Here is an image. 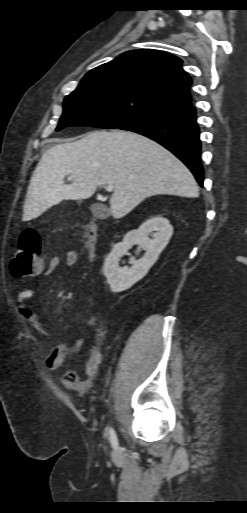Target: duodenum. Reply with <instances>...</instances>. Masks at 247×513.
Returning <instances> with one entry per match:
<instances>
[{"instance_id":"duodenum-1","label":"duodenum","mask_w":247,"mask_h":513,"mask_svg":"<svg viewBox=\"0 0 247 513\" xmlns=\"http://www.w3.org/2000/svg\"><path fill=\"white\" fill-rule=\"evenodd\" d=\"M86 231L88 234V254L90 257L94 258L96 255V246H97V235L98 229L95 223L89 222L86 226Z\"/></svg>"}]
</instances>
